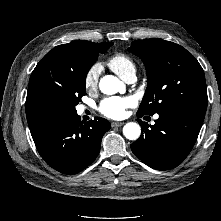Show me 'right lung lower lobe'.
<instances>
[{
	"instance_id": "1",
	"label": "right lung lower lobe",
	"mask_w": 221,
	"mask_h": 221,
	"mask_svg": "<svg viewBox=\"0 0 221 221\" xmlns=\"http://www.w3.org/2000/svg\"><path fill=\"white\" fill-rule=\"evenodd\" d=\"M36 148L44 161L64 174H76L98 156L108 120L81 122L77 112L47 108L27 115Z\"/></svg>"
}]
</instances>
